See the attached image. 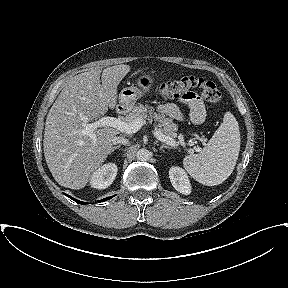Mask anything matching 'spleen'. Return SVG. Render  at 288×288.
Here are the masks:
<instances>
[{
  "label": "spleen",
  "mask_w": 288,
  "mask_h": 288,
  "mask_svg": "<svg viewBox=\"0 0 288 288\" xmlns=\"http://www.w3.org/2000/svg\"><path fill=\"white\" fill-rule=\"evenodd\" d=\"M239 125L232 113L224 114L223 123L198 154L183 159L185 170L199 183L214 186L233 172L240 151Z\"/></svg>",
  "instance_id": "3e777b00"
}]
</instances>
